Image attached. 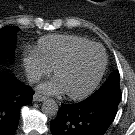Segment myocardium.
<instances>
[{"label": "myocardium", "mask_w": 135, "mask_h": 135, "mask_svg": "<svg viewBox=\"0 0 135 135\" xmlns=\"http://www.w3.org/2000/svg\"><path fill=\"white\" fill-rule=\"evenodd\" d=\"M92 47L99 48L103 55V62H102L101 68L99 70V73L97 74L95 79L91 82V84L87 88H85L83 91H81L79 93L66 92L67 96L71 99H82V98L88 96L91 92L94 91V89L98 86V84L102 80L103 75L106 70L107 61H108L107 53H106L104 47L101 44L95 43V42L82 45V46L74 49L72 52H70L67 56H65L61 60H59L53 67V73H54V75H56L58 70L67 66L68 64H70L79 54H81L85 50L92 48Z\"/></svg>", "instance_id": "1"}]
</instances>
